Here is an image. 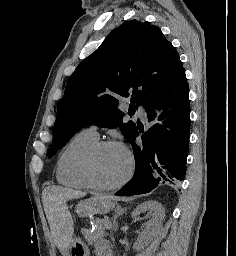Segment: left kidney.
Wrapping results in <instances>:
<instances>
[{
	"mask_svg": "<svg viewBox=\"0 0 236 256\" xmlns=\"http://www.w3.org/2000/svg\"><path fill=\"white\" fill-rule=\"evenodd\" d=\"M143 212H148V216H151V218L149 222L143 224L145 230L140 234L137 242H135L133 246L134 250H137V252L138 250L146 248V246L152 242V238L159 234L165 216L163 206H161L159 202H154V200H149V202H144V204L137 206L134 212H132V218H138Z\"/></svg>",
	"mask_w": 236,
	"mask_h": 256,
	"instance_id": "1",
	"label": "left kidney"
}]
</instances>
